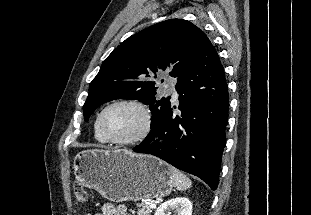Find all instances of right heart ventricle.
Instances as JSON below:
<instances>
[{
	"instance_id": "e07e8e85",
	"label": "right heart ventricle",
	"mask_w": 311,
	"mask_h": 215,
	"mask_svg": "<svg viewBox=\"0 0 311 215\" xmlns=\"http://www.w3.org/2000/svg\"><path fill=\"white\" fill-rule=\"evenodd\" d=\"M94 136L96 138V140L98 142H101V143H105L106 141L103 139V137L101 136V134L99 133V130H98V127H97V119L95 121V124H94Z\"/></svg>"
}]
</instances>
